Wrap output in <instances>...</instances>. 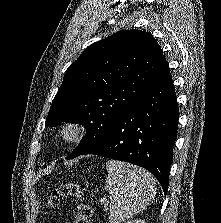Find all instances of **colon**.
I'll return each instance as SVG.
<instances>
[{
  "instance_id": "obj_1",
  "label": "colon",
  "mask_w": 221,
  "mask_h": 223,
  "mask_svg": "<svg viewBox=\"0 0 221 223\" xmlns=\"http://www.w3.org/2000/svg\"><path fill=\"white\" fill-rule=\"evenodd\" d=\"M65 197H75L79 201L73 210V223H91L92 209L85 203V193L75 182L64 183L54 188L49 195V207H57L60 199Z\"/></svg>"
}]
</instances>
